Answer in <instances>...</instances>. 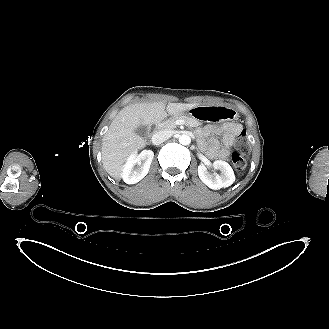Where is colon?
<instances>
[{"label": "colon", "mask_w": 329, "mask_h": 329, "mask_svg": "<svg viewBox=\"0 0 329 329\" xmlns=\"http://www.w3.org/2000/svg\"><path fill=\"white\" fill-rule=\"evenodd\" d=\"M248 140L245 131H242L237 138V151L232 155V162L237 170H243L246 166V156L248 154Z\"/></svg>", "instance_id": "5ec220e1"}]
</instances>
